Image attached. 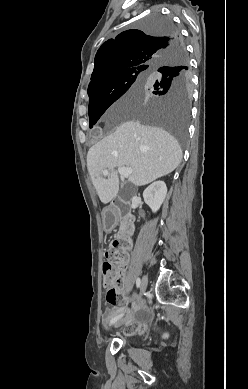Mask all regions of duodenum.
<instances>
[{"label": "duodenum", "instance_id": "410a0bca", "mask_svg": "<svg viewBox=\"0 0 248 389\" xmlns=\"http://www.w3.org/2000/svg\"><path fill=\"white\" fill-rule=\"evenodd\" d=\"M105 213H114V215H115L114 220H105L104 219L105 227L107 230H112L115 227L117 216L120 213H122V216H121L122 236L125 238H128L133 234L134 224H135V216L133 215V213L130 210H128V209L123 210L122 209V204L118 198H114L111 201L110 208L107 209L104 212V214Z\"/></svg>", "mask_w": 248, "mask_h": 389}]
</instances>
